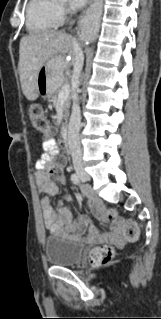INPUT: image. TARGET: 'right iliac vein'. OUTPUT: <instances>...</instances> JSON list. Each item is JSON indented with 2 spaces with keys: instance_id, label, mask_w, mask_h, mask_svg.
Listing matches in <instances>:
<instances>
[{
  "instance_id": "right-iliac-vein-1",
  "label": "right iliac vein",
  "mask_w": 161,
  "mask_h": 319,
  "mask_svg": "<svg viewBox=\"0 0 161 319\" xmlns=\"http://www.w3.org/2000/svg\"><path fill=\"white\" fill-rule=\"evenodd\" d=\"M78 174L80 177H82L84 180H89V176L87 173L83 172L82 170L78 171Z\"/></svg>"
}]
</instances>
